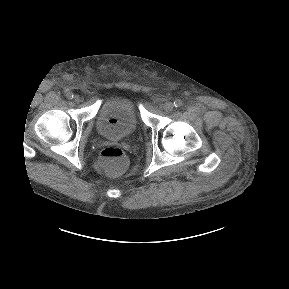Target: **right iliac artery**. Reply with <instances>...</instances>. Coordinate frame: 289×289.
I'll list each match as a JSON object with an SVG mask.
<instances>
[{"label": "right iliac artery", "instance_id": "82829eb1", "mask_svg": "<svg viewBox=\"0 0 289 289\" xmlns=\"http://www.w3.org/2000/svg\"><path fill=\"white\" fill-rule=\"evenodd\" d=\"M66 97H67L68 99H73L74 95H73L72 92H67V93H66Z\"/></svg>", "mask_w": 289, "mask_h": 289}]
</instances>
